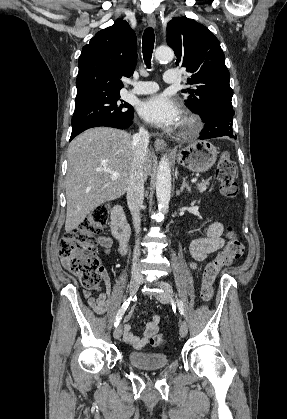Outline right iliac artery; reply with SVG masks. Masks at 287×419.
I'll list each match as a JSON object with an SVG mask.
<instances>
[{
    "label": "right iliac artery",
    "mask_w": 287,
    "mask_h": 419,
    "mask_svg": "<svg viewBox=\"0 0 287 419\" xmlns=\"http://www.w3.org/2000/svg\"><path fill=\"white\" fill-rule=\"evenodd\" d=\"M135 298V297H134ZM131 300H133L132 296H130L121 306L117 316H116V320L114 322V326L117 327L119 325L120 320L122 319L125 311L127 310Z\"/></svg>",
    "instance_id": "82829eb1"
}]
</instances>
